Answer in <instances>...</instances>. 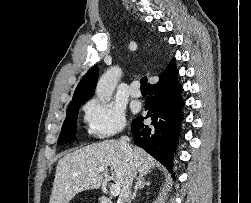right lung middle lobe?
Returning a JSON list of instances; mask_svg holds the SVG:
<instances>
[{
    "label": "right lung middle lobe",
    "mask_w": 251,
    "mask_h": 203,
    "mask_svg": "<svg viewBox=\"0 0 251 203\" xmlns=\"http://www.w3.org/2000/svg\"><path fill=\"white\" fill-rule=\"evenodd\" d=\"M83 102H77L70 104L67 110L66 118L63 123L61 133L58 139V143H69L76 139V120L78 116V110Z\"/></svg>",
    "instance_id": "obj_1"
}]
</instances>
